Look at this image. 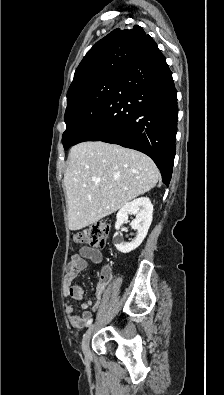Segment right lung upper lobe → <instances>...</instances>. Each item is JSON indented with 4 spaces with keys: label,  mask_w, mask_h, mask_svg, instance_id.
Here are the masks:
<instances>
[{
    "label": "right lung upper lobe",
    "mask_w": 224,
    "mask_h": 395,
    "mask_svg": "<svg viewBox=\"0 0 224 395\" xmlns=\"http://www.w3.org/2000/svg\"><path fill=\"white\" fill-rule=\"evenodd\" d=\"M148 37L138 25L132 29L113 30L86 53L75 71L67 95L101 78L122 75Z\"/></svg>",
    "instance_id": "1"
}]
</instances>
